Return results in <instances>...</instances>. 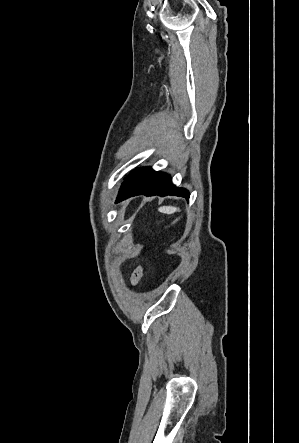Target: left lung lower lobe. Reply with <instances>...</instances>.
Instances as JSON below:
<instances>
[{
  "mask_svg": "<svg viewBox=\"0 0 299 443\" xmlns=\"http://www.w3.org/2000/svg\"><path fill=\"white\" fill-rule=\"evenodd\" d=\"M144 194L146 196L176 195L189 200V192L177 188L169 175L156 172L150 167L138 168L132 171L124 180L119 190L116 203L131 196Z\"/></svg>",
  "mask_w": 299,
  "mask_h": 443,
  "instance_id": "0a47b994",
  "label": "left lung lower lobe"
}]
</instances>
